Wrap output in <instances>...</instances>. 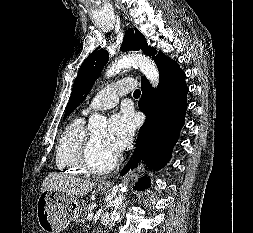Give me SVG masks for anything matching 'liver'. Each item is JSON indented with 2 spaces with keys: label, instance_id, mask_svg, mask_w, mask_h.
Returning a JSON list of instances; mask_svg holds the SVG:
<instances>
[{
  "label": "liver",
  "instance_id": "6515ba94",
  "mask_svg": "<svg viewBox=\"0 0 253 233\" xmlns=\"http://www.w3.org/2000/svg\"><path fill=\"white\" fill-rule=\"evenodd\" d=\"M94 187V182L52 172L43 181L41 192L45 190H59L70 196H83Z\"/></svg>",
  "mask_w": 253,
  "mask_h": 233
}]
</instances>
